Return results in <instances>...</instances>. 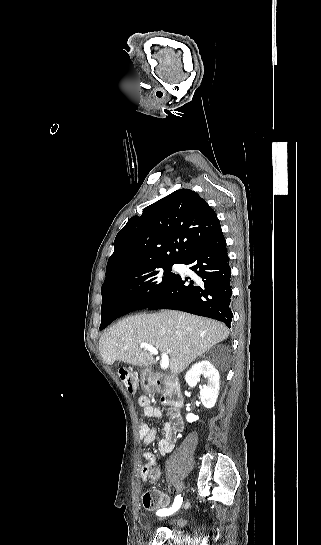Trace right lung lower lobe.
<instances>
[{
    "mask_svg": "<svg viewBox=\"0 0 321 545\" xmlns=\"http://www.w3.org/2000/svg\"><path fill=\"white\" fill-rule=\"evenodd\" d=\"M182 264L190 265L200 279L194 282L177 274L165 291L149 304L131 297L112 296L101 307V318L105 320L101 330L118 317L145 308L181 310L222 321L230 328L233 317L231 268L221 227L198 245Z\"/></svg>",
    "mask_w": 321,
    "mask_h": 545,
    "instance_id": "obj_1",
    "label": "right lung lower lobe"
}]
</instances>
